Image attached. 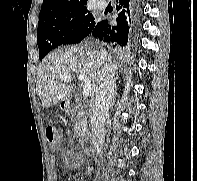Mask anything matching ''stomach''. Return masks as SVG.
I'll return each instance as SVG.
<instances>
[{
	"label": "stomach",
	"instance_id": "0dacf381",
	"mask_svg": "<svg viewBox=\"0 0 197 181\" xmlns=\"http://www.w3.org/2000/svg\"><path fill=\"white\" fill-rule=\"evenodd\" d=\"M62 105H63L64 107H67V102L63 101V102H62Z\"/></svg>",
	"mask_w": 197,
	"mask_h": 181
}]
</instances>
